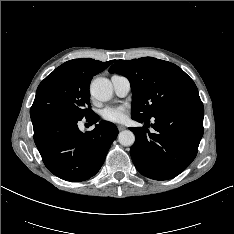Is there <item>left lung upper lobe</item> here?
<instances>
[{"label": "left lung upper lobe", "instance_id": "5c2ea615", "mask_svg": "<svg viewBox=\"0 0 234 234\" xmlns=\"http://www.w3.org/2000/svg\"><path fill=\"white\" fill-rule=\"evenodd\" d=\"M109 72L130 81L132 118L150 119L176 106L200 100L193 80L181 68L164 60L153 57L117 60Z\"/></svg>", "mask_w": 234, "mask_h": 234}]
</instances>
